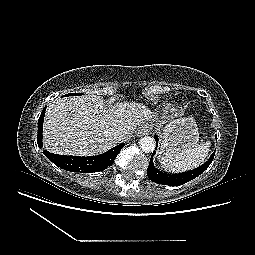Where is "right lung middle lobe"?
I'll return each mask as SVG.
<instances>
[{"instance_id": "dd1d6c3e", "label": "right lung middle lobe", "mask_w": 255, "mask_h": 255, "mask_svg": "<svg viewBox=\"0 0 255 255\" xmlns=\"http://www.w3.org/2000/svg\"><path fill=\"white\" fill-rule=\"evenodd\" d=\"M74 96V95H81V94H79V93H69V94H66V95H64V96Z\"/></svg>"}]
</instances>
